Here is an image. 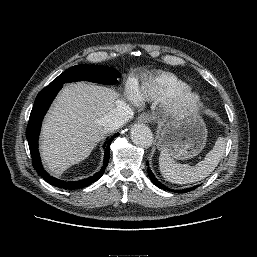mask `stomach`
Wrapping results in <instances>:
<instances>
[{
  "instance_id": "obj_1",
  "label": "stomach",
  "mask_w": 257,
  "mask_h": 257,
  "mask_svg": "<svg viewBox=\"0 0 257 257\" xmlns=\"http://www.w3.org/2000/svg\"><path fill=\"white\" fill-rule=\"evenodd\" d=\"M207 140V129L199 115L168 122L161 130L158 146L175 159H190L198 155Z\"/></svg>"
}]
</instances>
